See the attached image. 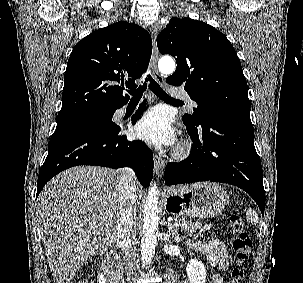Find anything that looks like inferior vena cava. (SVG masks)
Instances as JSON below:
<instances>
[{"mask_svg": "<svg viewBox=\"0 0 303 283\" xmlns=\"http://www.w3.org/2000/svg\"><path fill=\"white\" fill-rule=\"evenodd\" d=\"M134 183V171L131 168L122 169L119 179L121 214L117 229V240L125 245L124 259L129 283H135L134 275L137 267L135 263L136 249L133 246L137 200Z\"/></svg>", "mask_w": 303, "mask_h": 283, "instance_id": "602c4592", "label": "inferior vena cava"}]
</instances>
